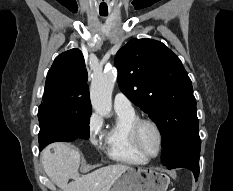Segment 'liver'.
Returning a JSON list of instances; mask_svg holds the SVG:
<instances>
[{"label": "liver", "mask_w": 233, "mask_h": 191, "mask_svg": "<svg viewBox=\"0 0 233 191\" xmlns=\"http://www.w3.org/2000/svg\"><path fill=\"white\" fill-rule=\"evenodd\" d=\"M41 160L47 176L61 191H102L129 168L127 165L114 164L80 175V151L63 142L47 146L41 153ZM70 179L73 181L68 183Z\"/></svg>", "instance_id": "1"}]
</instances>
